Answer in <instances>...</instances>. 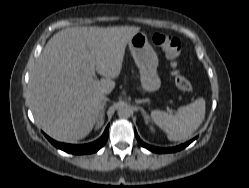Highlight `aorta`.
Returning <instances> with one entry per match:
<instances>
[{"instance_id":"762f6f07","label":"aorta","mask_w":249,"mask_h":188,"mask_svg":"<svg viewBox=\"0 0 249 188\" xmlns=\"http://www.w3.org/2000/svg\"><path fill=\"white\" fill-rule=\"evenodd\" d=\"M131 109L127 105H122L118 108L117 114L120 118L127 119L131 116Z\"/></svg>"}]
</instances>
